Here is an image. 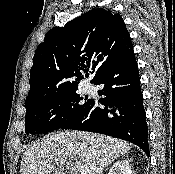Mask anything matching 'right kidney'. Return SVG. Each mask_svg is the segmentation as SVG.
I'll use <instances>...</instances> for the list:
<instances>
[{"mask_svg": "<svg viewBox=\"0 0 175 174\" xmlns=\"http://www.w3.org/2000/svg\"><path fill=\"white\" fill-rule=\"evenodd\" d=\"M108 174H133L128 160L122 159L113 164Z\"/></svg>", "mask_w": 175, "mask_h": 174, "instance_id": "ca27d5eb", "label": "right kidney"}]
</instances>
